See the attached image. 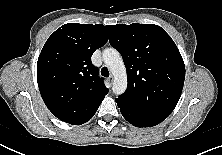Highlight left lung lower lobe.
Here are the masks:
<instances>
[{"label": "left lung lower lobe", "mask_w": 222, "mask_h": 155, "mask_svg": "<svg viewBox=\"0 0 222 155\" xmlns=\"http://www.w3.org/2000/svg\"><path fill=\"white\" fill-rule=\"evenodd\" d=\"M115 100L123 117L136 127H152L167 118L164 115L136 109L117 98Z\"/></svg>", "instance_id": "0a47b994"}]
</instances>
